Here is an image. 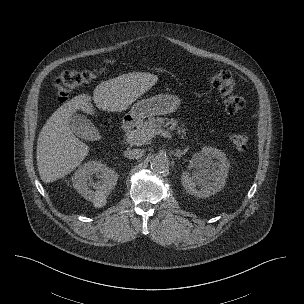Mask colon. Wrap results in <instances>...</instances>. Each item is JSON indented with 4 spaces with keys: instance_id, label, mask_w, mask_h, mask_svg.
<instances>
[{
    "instance_id": "colon-1",
    "label": "colon",
    "mask_w": 304,
    "mask_h": 304,
    "mask_svg": "<svg viewBox=\"0 0 304 304\" xmlns=\"http://www.w3.org/2000/svg\"><path fill=\"white\" fill-rule=\"evenodd\" d=\"M99 74L100 71L96 69L64 71L55 80L54 88L57 99L65 102L74 89L90 83ZM210 83L221 94L227 113L235 114L244 107L245 100L235 92V81L229 70L222 69L215 73L210 78ZM229 141L236 151L243 152L247 149L249 138L246 133L233 132L229 136Z\"/></svg>"
}]
</instances>
